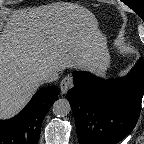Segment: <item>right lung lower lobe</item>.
Masks as SVG:
<instances>
[{
  "instance_id": "98d812e1",
  "label": "right lung lower lobe",
  "mask_w": 144,
  "mask_h": 144,
  "mask_svg": "<svg viewBox=\"0 0 144 144\" xmlns=\"http://www.w3.org/2000/svg\"><path fill=\"white\" fill-rule=\"evenodd\" d=\"M58 94L57 86L43 88L17 116L0 121V144H37L43 119Z\"/></svg>"
}]
</instances>
